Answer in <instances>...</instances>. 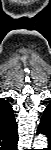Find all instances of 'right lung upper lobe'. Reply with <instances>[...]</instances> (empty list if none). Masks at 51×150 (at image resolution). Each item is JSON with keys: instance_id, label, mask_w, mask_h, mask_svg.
<instances>
[{"instance_id": "right-lung-upper-lobe-1", "label": "right lung upper lobe", "mask_w": 51, "mask_h": 150, "mask_svg": "<svg viewBox=\"0 0 51 150\" xmlns=\"http://www.w3.org/2000/svg\"><path fill=\"white\" fill-rule=\"evenodd\" d=\"M18 134L12 106L5 99H0V147L14 150L17 147Z\"/></svg>"}]
</instances>
